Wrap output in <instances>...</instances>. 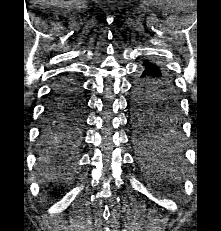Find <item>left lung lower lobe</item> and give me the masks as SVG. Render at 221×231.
Segmentation results:
<instances>
[{
    "label": "left lung lower lobe",
    "mask_w": 221,
    "mask_h": 231,
    "mask_svg": "<svg viewBox=\"0 0 221 231\" xmlns=\"http://www.w3.org/2000/svg\"><path fill=\"white\" fill-rule=\"evenodd\" d=\"M147 65L148 64H143V68H140L137 72L136 78L133 82L132 100L139 99L141 96V89L156 85V72ZM166 101H169V99L153 96V98L148 100V104L152 107H158L163 105ZM178 126L179 120L172 124L170 130L164 132V134H156L155 136L148 138L145 142L137 143L141 145L144 152L150 155H156L158 159H170L178 155L181 151V146L176 135Z\"/></svg>",
    "instance_id": "left-lung-lower-lobe-1"
}]
</instances>
